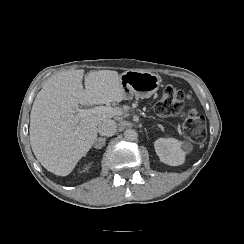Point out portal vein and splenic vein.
<instances>
[{"label":"portal vein and splenic vein","mask_w":244,"mask_h":244,"mask_svg":"<svg viewBox=\"0 0 244 244\" xmlns=\"http://www.w3.org/2000/svg\"><path fill=\"white\" fill-rule=\"evenodd\" d=\"M75 121L78 122L80 118L90 116L93 114H108L110 116H121L124 111L120 108H113L110 106H96L90 109H76Z\"/></svg>","instance_id":"1"}]
</instances>
